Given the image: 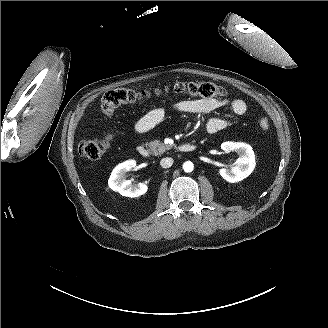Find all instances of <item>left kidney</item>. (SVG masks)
Returning a JSON list of instances; mask_svg holds the SVG:
<instances>
[{
    "label": "left kidney",
    "mask_w": 328,
    "mask_h": 328,
    "mask_svg": "<svg viewBox=\"0 0 328 328\" xmlns=\"http://www.w3.org/2000/svg\"><path fill=\"white\" fill-rule=\"evenodd\" d=\"M221 149L225 153L235 151L239 154V158L231 169L222 168L219 170L223 179L235 183L245 179L253 172L256 165L255 154L249 144L227 141L221 144Z\"/></svg>",
    "instance_id": "5707ae66"
}]
</instances>
